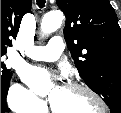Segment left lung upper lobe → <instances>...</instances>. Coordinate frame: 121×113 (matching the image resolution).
I'll list each match as a JSON object with an SVG mask.
<instances>
[{
    "label": "left lung upper lobe",
    "instance_id": "1",
    "mask_svg": "<svg viewBox=\"0 0 121 113\" xmlns=\"http://www.w3.org/2000/svg\"><path fill=\"white\" fill-rule=\"evenodd\" d=\"M66 16L64 37L80 76L121 113V29L109 0H56Z\"/></svg>",
    "mask_w": 121,
    "mask_h": 113
}]
</instances>
